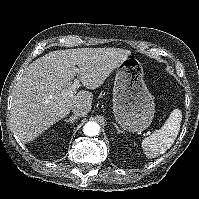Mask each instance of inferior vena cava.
<instances>
[{
    "label": "inferior vena cava",
    "instance_id": "obj_1",
    "mask_svg": "<svg viewBox=\"0 0 199 199\" xmlns=\"http://www.w3.org/2000/svg\"><path fill=\"white\" fill-rule=\"evenodd\" d=\"M75 116L84 117L88 114L87 108L82 104H77L72 108Z\"/></svg>",
    "mask_w": 199,
    "mask_h": 199
}]
</instances>
